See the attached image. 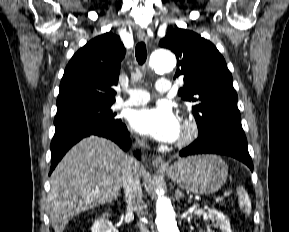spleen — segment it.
<instances>
[{
  "instance_id": "spleen-1",
  "label": "spleen",
  "mask_w": 289,
  "mask_h": 232,
  "mask_svg": "<svg viewBox=\"0 0 289 232\" xmlns=\"http://www.w3.org/2000/svg\"><path fill=\"white\" fill-rule=\"evenodd\" d=\"M237 195L239 199L240 208L246 214H250L251 213V201H250L247 191L245 190L243 186L238 187Z\"/></svg>"
}]
</instances>
